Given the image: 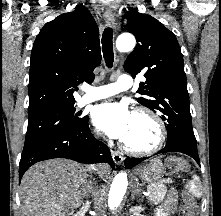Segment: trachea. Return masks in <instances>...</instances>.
Here are the masks:
<instances>
[{
  "instance_id": "1",
  "label": "trachea",
  "mask_w": 221,
  "mask_h": 216,
  "mask_svg": "<svg viewBox=\"0 0 221 216\" xmlns=\"http://www.w3.org/2000/svg\"><path fill=\"white\" fill-rule=\"evenodd\" d=\"M102 51L105 59L106 66L112 68L114 62L113 52V31L112 28H105L102 35Z\"/></svg>"
}]
</instances>
